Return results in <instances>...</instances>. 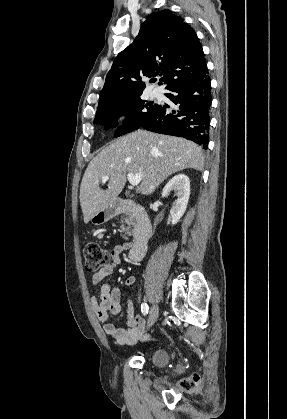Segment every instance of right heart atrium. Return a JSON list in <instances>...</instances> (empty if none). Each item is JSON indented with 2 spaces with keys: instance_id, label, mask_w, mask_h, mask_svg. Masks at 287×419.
I'll return each mask as SVG.
<instances>
[{
  "instance_id": "right-heart-atrium-1",
  "label": "right heart atrium",
  "mask_w": 287,
  "mask_h": 419,
  "mask_svg": "<svg viewBox=\"0 0 287 419\" xmlns=\"http://www.w3.org/2000/svg\"><path fill=\"white\" fill-rule=\"evenodd\" d=\"M118 119L120 121L125 120L126 119V114H124V113L119 114Z\"/></svg>"
}]
</instances>
